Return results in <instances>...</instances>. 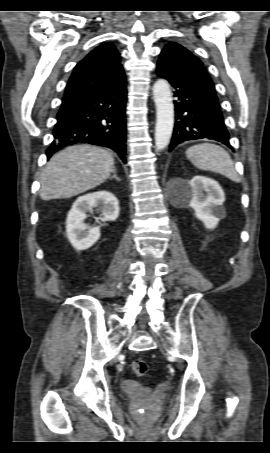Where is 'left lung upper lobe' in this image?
Masks as SVG:
<instances>
[{
	"mask_svg": "<svg viewBox=\"0 0 270 453\" xmlns=\"http://www.w3.org/2000/svg\"><path fill=\"white\" fill-rule=\"evenodd\" d=\"M168 60L196 77L204 79L213 84L207 74L203 63L195 57L189 50L178 43L170 42L160 54V59Z\"/></svg>",
	"mask_w": 270,
	"mask_h": 453,
	"instance_id": "left-lung-upper-lobe-1",
	"label": "left lung upper lobe"
}]
</instances>
